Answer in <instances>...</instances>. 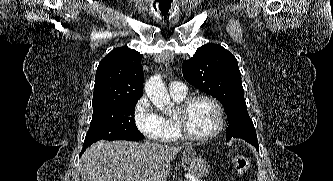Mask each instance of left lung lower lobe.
<instances>
[{"label": "left lung lower lobe", "mask_w": 333, "mask_h": 181, "mask_svg": "<svg viewBox=\"0 0 333 181\" xmlns=\"http://www.w3.org/2000/svg\"><path fill=\"white\" fill-rule=\"evenodd\" d=\"M235 138H242L245 141L249 142L250 144H252L257 150H259V145H258V141L257 140H252L251 138L247 137V136H242V137H235ZM230 137H226V140H230Z\"/></svg>", "instance_id": "0a47b994"}]
</instances>
